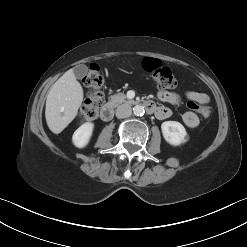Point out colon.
Instances as JSON below:
<instances>
[{
	"instance_id": "obj_1",
	"label": "colon",
	"mask_w": 247,
	"mask_h": 247,
	"mask_svg": "<svg viewBox=\"0 0 247 247\" xmlns=\"http://www.w3.org/2000/svg\"><path fill=\"white\" fill-rule=\"evenodd\" d=\"M142 66L159 88L174 89L177 86V80L172 71L163 66L159 59L145 58ZM83 83L89 89V95L82 106L80 116L83 121H90L98 117L103 104V93L101 91L103 76L97 65L89 66L88 72L83 78ZM188 107L205 118L212 113L211 107L206 104L190 103Z\"/></svg>"
}]
</instances>
